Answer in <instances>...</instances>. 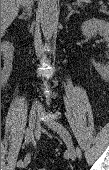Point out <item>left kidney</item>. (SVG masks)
Returning <instances> with one entry per match:
<instances>
[{"instance_id":"obj_1","label":"left kidney","mask_w":109,"mask_h":170,"mask_svg":"<svg viewBox=\"0 0 109 170\" xmlns=\"http://www.w3.org/2000/svg\"><path fill=\"white\" fill-rule=\"evenodd\" d=\"M82 34L85 36H94L96 34L101 35L106 41H109V23L104 20L92 18L88 21H85L81 26ZM95 69L101 75L108 74L109 65L93 63Z\"/></svg>"}]
</instances>
